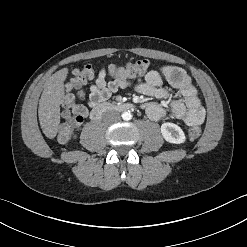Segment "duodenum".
Segmentation results:
<instances>
[{
  "instance_id": "obj_1",
  "label": "duodenum",
  "mask_w": 247,
  "mask_h": 247,
  "mask_svg": "<svg viewBox=\"0 0 247 247\" xmlns=\"http://www.w3.org/2000/svg\"><path fill=\"white\" fill-rule=\"evenodd\" d=\"M133 105L130 103H101L97 105L90 114L93 121H98L102 116L111 111H127L132 109Z\"/></svg>"
}]
</instances>
